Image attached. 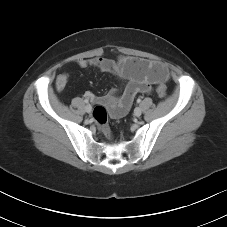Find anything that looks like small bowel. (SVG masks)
Returning a JSON list of instances; mask_svg holds the SVG:
<instances>
[{
    "label": "small bowel",
    "instance_id": "1",
    "mask_svg": "<svg viewBox=\"0 0 227 227\" xmlns=\"http://www.w3.org/2000/svg\"><path fill=\"white\" fill-rule=\"evenodd\" d=\"M156 64L159 63L129 56H120L117 60L93 57L76 61V65L82 69L95 68L113 74L120 80L119 86L112 88L102 96H97L92 92L85 94L86 98L95 103L108 105L110 115L114 118L128 112L137 94L149 93L154 84L166 80L167 72H160L156 68ZM68 81L67 73L59 74L55 81L57 90H63Z\"/></svg>",
    "mask_w": 227,
    "mask_h": 227
}]
</instances>
